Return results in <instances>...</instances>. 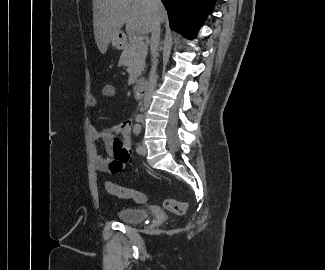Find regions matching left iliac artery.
Segmentation results:
<instances>
[{
    "label": "left iliac artery",
    "mask_w": 325,
    "mask_h": 270,
    "mask_svg": "<svg viewBox=\"0 0 325 270\" xmlns=\"http://www.w3.org/2000/svg\"><path fill=\"white\" fill-rule=\"evenodd\" d=\"M133 132L136 136H138L141 132V125L140 124H136L133 128ZM141 151V145L138 143L136 146V152L139 153Z\"/></svg>",
    "instance_id": "left-iliac-artery-1"
}]
</instances>
